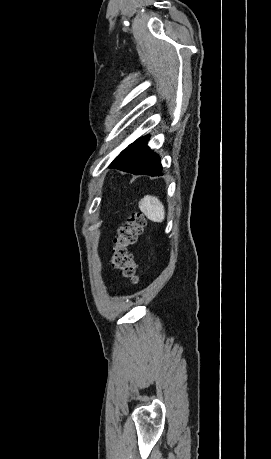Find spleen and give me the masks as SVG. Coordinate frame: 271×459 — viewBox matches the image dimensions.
<instances>
[{"mask_svg": "<svg viewBox=\"0 0 271 459\" xmlns=\"http://www.w3.org/2000/svg\"><path fill=\"white\" fill-rule=\"evenodd\" d=\"M139 208L146 218L152 220V222H163L165 218L164 206L154 196H144L143 200L139 202Z\"/></svg>", "mask_w": 271, "mask_h": 459, "instance_id": "3e777b00", "label": "spleen"}]
</instances>
